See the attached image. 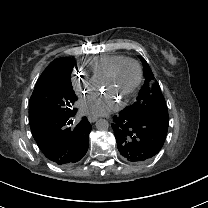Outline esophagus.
<instances>
[{"instance_id": "obj_1", "label": "esophagus", "mask_w": 208, "mask_h": 208, "mask_svg": "<svg viewBox=\"0 0 208 208\" xmlns=\"http://www.w3.org/2000/svg\"><path fill=\"white\" fill-rule=\"evenodd\" d=\"M98 117L94 116V115H89L88 116V120L91 123H94L95 121H97Z\"/></svg>"}]
</instances>
